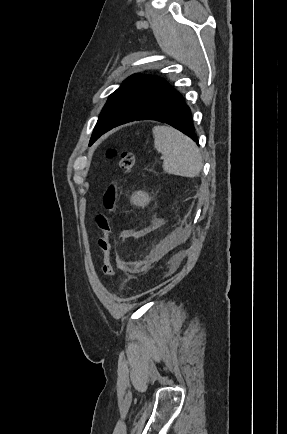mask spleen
Segmentation results:
<instances>
[{"mask_svg": "<svg viewBox=\"0 0 287 434\" xmlns=\"http://www.w3.org/2000/svg\"><path fill=\"white\" fill-rule=\"evenodd\" d=\"M155 149L163 154L166 173L194 178L202 169V157L197 145L180 131L168 126L152 130Z\"/></svg>", "mask_w": 287, "mask_h": 434, "instance_id": "3e777b00", "label": "spleen"}]
</instances>
